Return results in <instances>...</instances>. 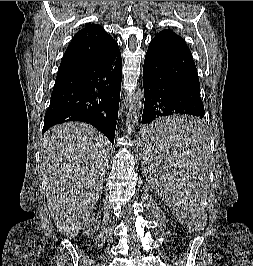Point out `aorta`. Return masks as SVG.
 <instances>
[{"instance_id": "1", "label": "aorta", "mask_w": 253, "mask_h": 266, "mask_svg": "<svg viewBox=\"0 0 253 266\" xmlns=\"http://www.w3.org/2000/svg\"><path fill=\"white\" fill-rule=\"evenodd\" d=\"M144 98V94L141 90L137 91L133 97V103L129 108V112L126 118V127L128 128V132L131 131V128L137 122L139 117L140 110L142 108V99Z\"/></svg>"}]
</instances>
